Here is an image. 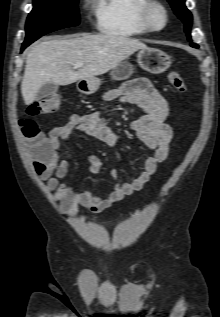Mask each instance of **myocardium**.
<instances>
[{
    "mask_svg": "<svg viewBox=\"0 0 220 317\" xmlns=\"http://www.w3.org/2000/svg\"><path fill=\"white\" fill-rule=\"evenodd\" d=\"M155 12L161 13L163 17V24L161 26L156 25L154 21ZM140 19L150 31H161L168 24L169 12L162 2L158 0H147L140 9Z\"/></svg>",
    "mask_w": 220,
    "mask_h": 317,
    "instance_id": "f54148a6",
    "label": "myocardium"
}]
</instances>
